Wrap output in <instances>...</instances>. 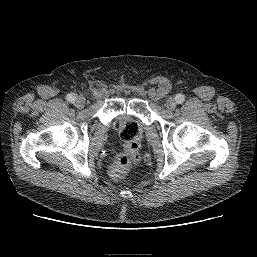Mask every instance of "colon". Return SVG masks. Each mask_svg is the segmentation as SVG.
<instances>
[{"mask_svg": "<svg viewBox=\"0 0 257 257\" xmlns=\"http://www.w3.org/2000/svg\"><path fill=\"white\" fill-rule=\"evenodd\" d=\"M115 129L124 140V149L117 156L111 167L114 177H121L130 168L131 164L140 159L138 139L140 135L139 125L134 120L117 118L114 122Z\"/></svg>", "mask_w": 257, "mask_h": 257, "instance_id": "obj_1", "label": "colon"}]
</instances>
